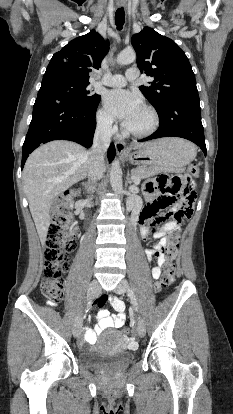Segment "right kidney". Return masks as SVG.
<instances>
[{
	"label": "right kidney",
	"instance_id": "obj_1",
	"mask_svg": "<svg viewBox=\"0 0 233 414\" xmlns=\"http://www.w3.org/2000/svg\"><path fill=\"white\" fill-rule=\"evenodd\" d=\"M70 207L73 208V204H71Z\"/></svg>",
	"mask_w": 233,
	"mask_h": 414
}]
</instances>
